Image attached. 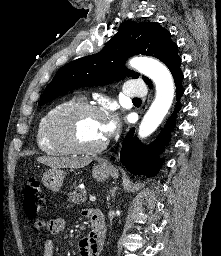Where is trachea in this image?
Instances as JSON below:
<instances>
[{"instance_id":"obj_1","label":"trachea","mask_w":221,"mask_h":256,"mask_svg":"<svg viewBox=\"0 0 221 256\" xmlns=\"http://www.w3.org/2000/svg\"><path fill=\"white\" fill-rule=\"evenodd\" d=\"M133 100L134 101H141V99H139V98H134Z\"/></svg>"}]
</instances>
